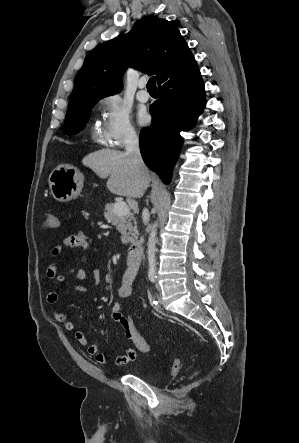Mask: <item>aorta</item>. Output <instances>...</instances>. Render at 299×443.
<instances>
[{
    "label": "aorta",
    "instance_id": "1",
    "mask_svg": "<svg viewBox=\"0 0 299 443\" xmlns=\"http://www.w3.org/2000/svg\"><path fill=\"white\" fill-rule=\"evenodd\" d=\"M157 223L155 222L150 230L148 243H147V257H148V268L150 273H154L156 270V242H157Z\"/></svg>",
    "mask_w": 299,
    "mask_h": 443
}]
</instances>
